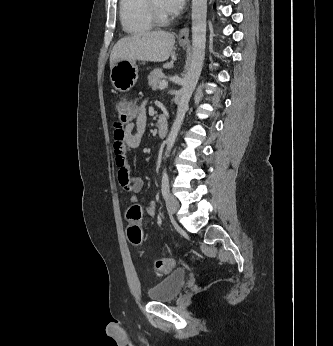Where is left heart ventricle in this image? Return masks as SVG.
Listing matches in <instances>:
<instances>
[{
    "mask_svg": "<svg viewBox=\"0 0 333 346\" xmlns=\"http://www.w3.org/2000/svg\"><path fill=\"white\" fill-rule=\"evenodd\" d=\"M157 8L164 14H167L162 7V0H153Z\"/></svg>",
    "mask_w": 333,
    "mask_h": 346,
    "instance_id": "left-heart-ventricle-1",
    "label": "left heart ventricle"
}]
</instances>
